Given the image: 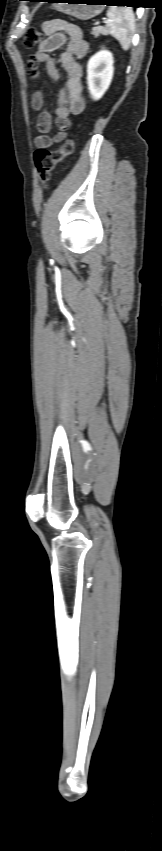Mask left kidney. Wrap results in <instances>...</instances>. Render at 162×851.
<instances>
[{
  "mask_svg": "<svg viewBox=\"0 0 162 851\" xmlns=\"http://www.w3.org/2000/svg\"><path fill=\"white\" fill-rule=\"evenodd\" d=\"M113 63V55L107 50H101L89 59L87 84L94 100H99L109 88L114 72Z\"/></svg>",
  "mask_w": 162,
  "mask_h": 851,
  "instance_id": "1",
  "label": "left kidney"
}]
</instances>
